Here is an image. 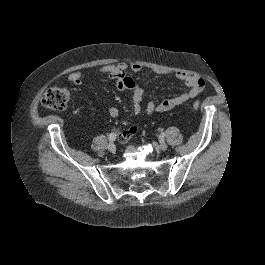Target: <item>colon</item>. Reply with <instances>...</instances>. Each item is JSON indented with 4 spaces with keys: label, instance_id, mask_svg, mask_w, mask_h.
<instances>
[{
    "label": "colon",
    "instance_id": "obj_1",
    "mask_svg": "<svg viewBox=\"0 0 265 265\" xmlns=\"http://www.w3.org/2000/svg\"><path fill=\"white\" fill-rule=\"evenodd\" d=\"M71 98V92L65 87H53L48 89L42 96V105L48 109L61 111L64 110ZM193 109L200 107V102L195 101L192 105Z\"/></svg>",
    "mask_w": 265,
    "mask_h": 265
}]
</instances>
